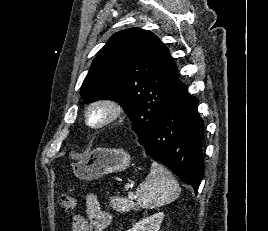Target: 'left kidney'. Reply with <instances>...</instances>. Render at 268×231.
Listing matches in <instances>:
<instances>
[{"mask_svg":"<svg viewBox=\"0 0 268 231\" xmlns=\"http://www.w3.org/2000/svg\"><path fill=\"white\" fill-rule=\"evenodd\" d=\"M163 218V212L156 213L135 223L128 231H159Z\"/></svg>","mask_w":268,"mask_h":231,"instance_id":"1","label":"left kidney"}]
</instances>
